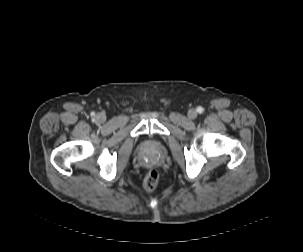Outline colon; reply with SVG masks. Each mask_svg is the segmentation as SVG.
I'll use <instances>...</instances> for the list:
<instances>
[{
  "label": "colon",
  "mask_w": 303,
  "mask_h": 252,
  "mask_svg": "<svg viewBox=\"0 0 303 252\" xmlns=\"http://www.w3.org/2000/svg\"><path fill=\"white\" fill-rule=\"evenodd\" d=\"M159 182V173L157 170H150L143 180V188L150 192L153 191Z\"/></svg>",
  "instance_id": "obj_1"
}]
</instances>
